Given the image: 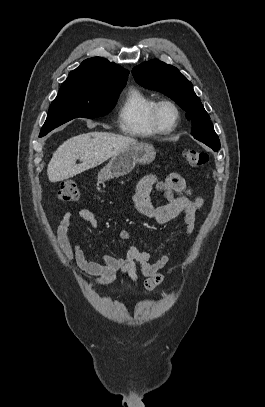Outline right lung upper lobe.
I'll use <instances>...</instances> for the list:
<instances>
[{"label":"right lung upper lobe","instance_id":"obj_1","mask_svg":"<svg viewBox=\"0 0 265 407\" xmlns=\"http://www.w3.org/2000/svg\"><path fill=\"white\" fill-rule=\"evenodd\" d=\"M129 71L101 57L84 60L81 65L69 73L66 81H99L126 84Z\"/></svg>","mask_w":265,"mask_h":407}]
</instances>
